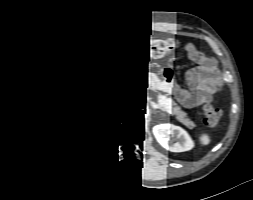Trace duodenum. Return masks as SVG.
Listing matches in <instances>:
<instances>
[{
    "mask_svg": "<svg viewBox=\"0 0 253 200\" xmlns=\"http://www.w3.org/2000/svg\"><path fill=\"white\" fill-rule=\"evenodd\" d=\"M99 86H100V81L97 82V85H96V91H97V95L100 94V89H99Z\"/></svg>",
    "mask_w": 253,
    "mask_h": 200,
    "instance_id": "1",
    "label": "duodenum"
}]
</instances>
